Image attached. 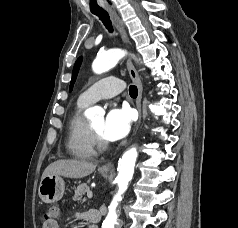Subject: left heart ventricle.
I'll return each instance as SVG.
<instances>
[{
    "instance_id": "obj_1",
    "label": "left heart ventricle",
    "mask_w": 238,
    "mask_h": 228,
    "mask_svg": "<svg viewBox=\"0 0 238 228\" xmlns=\"http://www.w3.org/2000/svg\"><path fill=\"white\" fill-rule=\"evenodd\" d=\"M103 125H104V120L103 119H98L95 122L91 124L92 128L103 137ZM104 138V137H103Z\"/></svg>"
}]
</instances>
